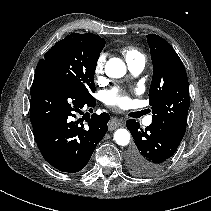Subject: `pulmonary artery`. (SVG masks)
Returning <instances> with one entry per match:
<instances>
[{
    "instance_id": "pulmonary-artery-1",
    "label": "pulmonary artery",
    "mask_w": 211,
    "mask_h": 211,
    "mask_svg": "<svg viewBox=\"0 0 211 211\" xmlns=\"http://www.w3.org/2000/svg\"><path fill=\"white\" fill-rule=\"evenodd\" d=\"M128 64V68L129 70L134 74V75H138L140 74L143 70H144V67H145V59L144 57L142 58H138L136 60H133V61H130V62H127ZM152 122V117L149 116L145 119L144 121V124L146 126H149Z\"/></svg>"
}]
</instances>
